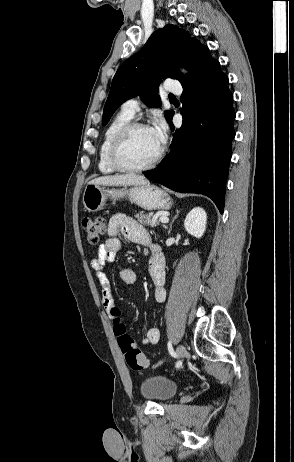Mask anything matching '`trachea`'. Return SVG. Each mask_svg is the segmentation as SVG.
<instances>
[{
    "label": "trachea",
    "instance_id": "obj_1",
    "mask_svg": "<svg viewBox=\"0 0 294 462\" xmlns=\"http://www.w3.org/2000/svg\"><path fill=\"white\" fill-rule=\"evenodd\" d=\"M170 99H176L174 96H171Z\"/></svg>",
    "mask_w": 294,
    "mask_h": 462
}]
</instances>
